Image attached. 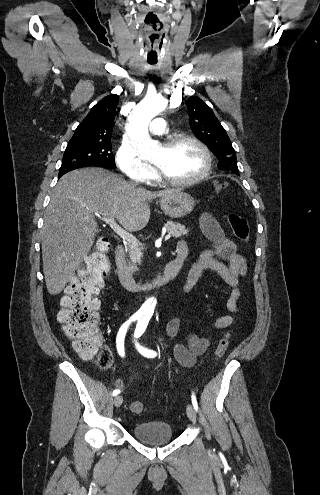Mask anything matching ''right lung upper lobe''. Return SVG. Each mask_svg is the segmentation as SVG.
Wrapping results in <instances>:
<instances>
[{
	"label": "right lung upper lobe",
	"mask_w": 320,
	"mask_h": 495,
	"mask_svg": "<svg viewBox=\"0 0 320 495\" xmlns=\"http://www.w3.org/2000/svg\"><path fill=\"white\" fill-rule=\"evenodd\" d=\"M119 96L111 94L92 107L69 143L110 142Z\"/></svg>",
	"instance_id": "right-lung-upper-lobe-1"
}]
</instances>
